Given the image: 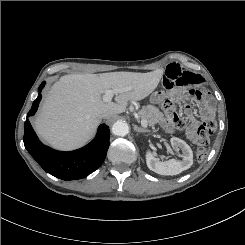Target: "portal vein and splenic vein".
Returning a JSON list of instances; mask_svg holds the SVG:
<instances>
[{"mask_svg":"<svg viewBox=\"0 0 245 245\" xmlns=\"http://www.w3.org/2000/svg\"><path fill=\"white\" fill-rule=\"evenodd\" d=\"M126 89H116V90H111V89H107L105 92H104V95H103V101L104 102H111L114 94H117V93H121V92H124ZM136 118H138V116H136ZM141 125L143 127H147V122L146 120H141Z\"/></svg>","mask_w":245,"mask_h":245,"instance_id":"1","label":"portal vein and splenic vein"}]
</instances>
